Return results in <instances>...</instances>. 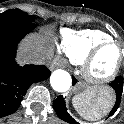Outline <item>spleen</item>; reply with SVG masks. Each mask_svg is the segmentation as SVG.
I'll return each mask as SVG.
<instances>
[{"instance_id": "3e777b00", "label": "spleen", "mask_w": 124, "mask_h": 124, "mask_svg": "<svg viewBox=\"0 0 124 124\" xmlns=\"http://www.w3.org/2000/svg\"><path fill=\"white\" fill-rule=\"evenodd\" d=\"M72 103L77 112L85 119L96 120L107 113L112 101L109 97L99 96L94 99L92 96L75 95Z\"/></svg>"}]
</instances>
